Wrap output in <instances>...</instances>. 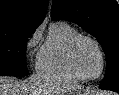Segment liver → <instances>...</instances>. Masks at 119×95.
Wrapping results in <instances>:
<instances>
[{
  "mask_svg": "<svg viewBox=\"0 0 119 95\" xmlns=\"http://www.w3.org/2000/svg\"><path fill=\"white\" fill-rule=\"evenodd\" d=\"M76 88L75 84L50 80L43 75H34L24 81L0 76V95H68Z\"/></svg>",
  "mask_w": 119,
  "mask_h": 95,
  "instance_id": "6515ba94",
  "label": "liver"
}]
</instances>
